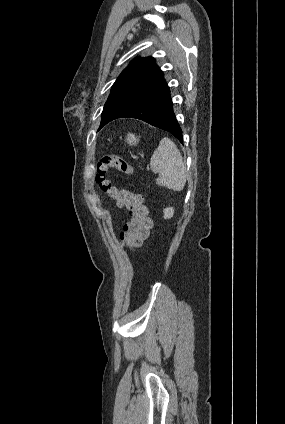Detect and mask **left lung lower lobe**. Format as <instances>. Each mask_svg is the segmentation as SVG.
<instances>
[{"label": "left lung lower lobe", "mask_w": 285, "mask_h": 424, "mask_svg": "<svg viewBox=\"0 0 285 424\" xmlns=\"http://www.w3.org/2000/svg\"><path fill=\"white\" fill-rule=\"evenodd\" d=\"M124 117L140 119L166 130L183 143L182 130L175 118L170 90L163 73L149 85L118 104L109 113L104 125Z\"/></svg>", "instance_id": "obj_1"}]
</instances>
